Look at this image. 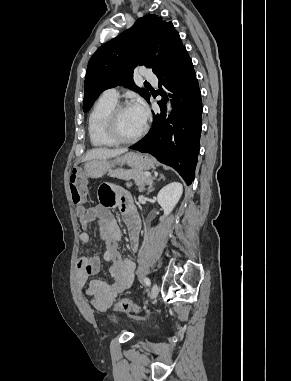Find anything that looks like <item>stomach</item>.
Returning a JSON list of instances; mask_svg holds the SVG:
<instances>
[{"instance_id": "0dacf381", "label": "stomach", "mask_w": 291, "mask_h": 381, "mask_svg": "<svg viewBox=\"0 0 291 381\" xmlns=\"http://www.w3.org/2000/svg\"><path fill=\"white\" fill-rule=\"evenodd\" d=\"M116 164H127L132 169L147 171L154 167V162L148 155L128 152L114 160H90L84 166V174L91 178H100Z\"/></svg>"}]
</instances>
